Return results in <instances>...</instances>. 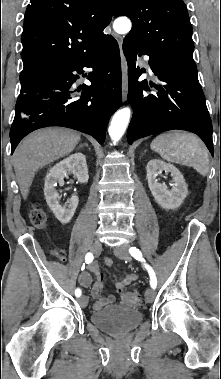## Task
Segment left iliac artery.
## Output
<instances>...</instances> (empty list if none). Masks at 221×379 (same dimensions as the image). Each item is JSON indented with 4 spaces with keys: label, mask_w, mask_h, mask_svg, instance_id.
<instances>
[{
    "label": "left iliac artery",
    "mask_w": 221,
    "mask_h": 379,
    "mask_svg": "<svg viewBox=\"0 0 221 379\" xmlns=\"http://www.w3.org/2000/svg\"><path fill=\"white\" fill-rule=\"evenodd\" d=\"M129 253H130L131 256H133L136 260L141 261V262L144 263V266H145V268H146V270L148 271L149 276H150V285H151V287H152L153 289H155L156 286H157V278H156L155 272H154V270L152 269V267H151L150 265H148V264L145 262L144 258L142 257V253H141V251H140L138 248H136V247H131V248L129 249Z\"/></svg>",
    "instance_id": "obj_1"
}]
</instances>
